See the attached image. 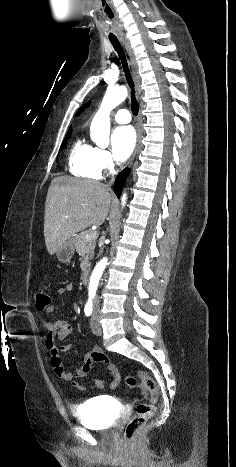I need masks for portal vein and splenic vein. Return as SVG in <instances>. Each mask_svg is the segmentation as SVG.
Returning a JSON list of instances; mask_svg holds the SVG:
<instances>
[{"label": "portal vein and splenic vein", "mask_w": 236, "mask_h": 467, "mask_svg": "<svg viewBox=\"0 0 236 467\" xmlns=\"http://www.w3.org/2000/svg\"><path fill=\"white\" fill-rule=\"evenodd\" d=\"M96 236H97V231H92V232L88 233L85 236V239L86 240H92V239L96 238Z\"/></svg>", "instance_id": "portal-vein-and-splenic-vein-1"}]
</instances>
